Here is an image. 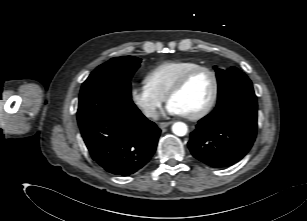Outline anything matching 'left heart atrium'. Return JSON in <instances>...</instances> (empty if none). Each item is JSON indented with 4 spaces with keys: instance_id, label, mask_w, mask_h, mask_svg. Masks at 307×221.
Returning a JSON list of instances; mask_svg holds the SVG:
<instances>
[{
    "instance_id": "obj_1",
    "label": "left heart atrium",
    "mask_w": 307,
    "mask_h": 221,
    "mask_svg": "<svg viewBox=\"0 0 307 221\" xmlns=\"http://www.w3.org/2000/svg\"><path fill=\"white\" fill-rule=\"evenodd\" d=\"M166 113L170 115H183V113L172 103H168L166 106Z\"/></svg>"
}]
</instances>
